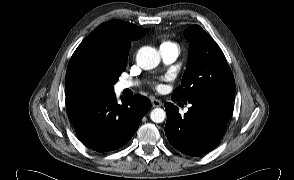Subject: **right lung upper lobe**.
<instances>
[{
    "label": "right lung upper lobe",
    "mask_w": 294,
    "mask_h": 180,
    "mask_svg": "<svg viewBox=\"0 0 294 180\" xmlns=\"http://www.w3.org/2000/svg\"><path fill=\"white\" fill-rule=\"evenodd\" d=\"M148 31L121 20L105 22L81 42L71 60L83 53L112 54L127 60L131 41L142 38Z\"/></svg>",
    "instance_id": "1"
}]
</instances>
